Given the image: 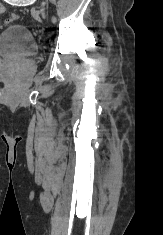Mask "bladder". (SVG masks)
Returning <instances> with one entry per match:
<instances>
[{"label":"bladder","instance_id":"1","mask_svg":"<svg viewBox=\"0 0 163 235\" xmlns=\"http://www.w3.org/2000/svg\"><path fill=\"white\" fill-rule=\"evenodd\" d=\"M37 54L38 47L26 26L13 24L0 31V57L31 59Z\"/></svg>","mask_w":163,"mask_h":235}]
</instances>
